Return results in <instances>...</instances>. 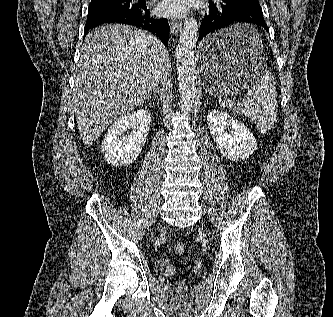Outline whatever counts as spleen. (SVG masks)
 Returning a JSON list of instances; mask_svg holds the SVG:
<instances>
[{
    "instance_id": "obj_1",
    "label": "spleen",
    "mask_w": 333,
    "mask_h": 317,
    "mask_svg": "<svg viewBox=\"0 0 333 317\" xmlns=\"http://www.w3.org/2000/svg\"><path fill=\"white\" fill-rule=\"evenodd\" d=\"M257 37H260L258 31L251 26L246 36L247 42L253 45ZM233 107L250 118L261 133L265 134L271 129L276 120L278 108L277 91L272 74L265 71L256 84L248 89L242 103L234 104Z\"/></svg>"
}]
</instances>
